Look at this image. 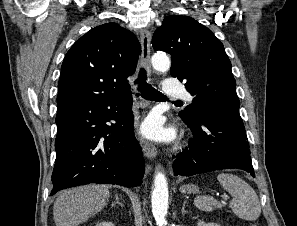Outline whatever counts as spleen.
Wrapping results in <instances>:
<instances>
[{"label": "spleen", "instance_id": "obj_1", "mask_svg": "<svg viewBox=\"0 0 297 226\" xmlns=\"http://www.w3.org/2000/svg\"><path fill=\"white\" fill-rule=\"evenodd\" d=\"M220 185L228 191L233 199L229 206L239 218L254 221L261 213V206L253 188L242 178L230 173H220L217 176ZM195 206L205 212L221 208L222 204L212 196H198L194 199Z\"/></svg>", "mask_w": 297, "mask_h": 226}]
</instances>
